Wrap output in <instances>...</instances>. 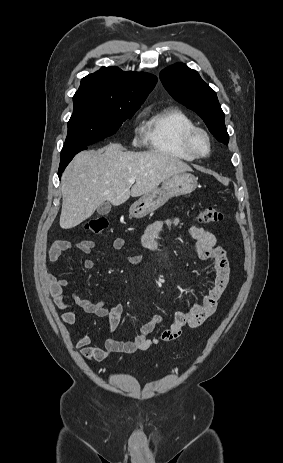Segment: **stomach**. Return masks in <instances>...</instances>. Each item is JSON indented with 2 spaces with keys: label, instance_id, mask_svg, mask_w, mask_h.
Masks as SVG:
<instances>
[{
  "label": "stomach",
  "instance_id": "0dacf381",
  "mask_svg": "<svg viewBox=\"0 0 283 463\" xmlns=\"http://www.w3.org/2000/svg\"><path fill=\"white\" fill-rule=\"evenodd\" d=\"M197 178L190 173L174 175L162 182L161 187H156L151 192L143 195L130 207V215L134 218H142L163 206L170 198L189 194L195 190Z\"/></svg>",
  "mask_w": 283,
  "mask_h": 463
}]
</instances>
